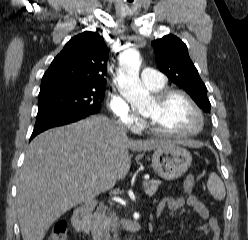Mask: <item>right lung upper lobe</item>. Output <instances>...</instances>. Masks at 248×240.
<instances>
[{"instance_id":"cb5924a9","label":"right lung upper lobe","mask_w":248,"mask_h":240,"mask_svg":"<svg viewBox=\"0 0 248 240\" xmlns=\"http://www.w3.org/2000/svg\"><path fill=\"white\" fill-rule=\"evenodd\" d=\"M108 53L96 32L73 37L45 72L40 94L66 89H105Z\"/></svg>"}]
</instances>
